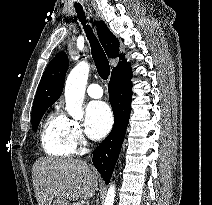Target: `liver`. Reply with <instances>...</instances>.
<instances>
[{
    "instance_id": "1",
    "label": "liver",
    "mask_w": 212,
    "mask_h": 205,
    "mask_svg": "<svg viewBox=\"0 0 212 205\" xmlns=\"http://www.w3.org/2000/svg\"><path fill=\"white\" fill-rule=\"evenodd\" d=\"M32 170L38 205H51L55 198L87 200L98 187L96 174L81 160L43 157Z\"/></svg>"
}]
</instances>
